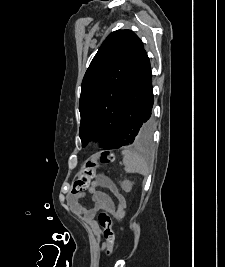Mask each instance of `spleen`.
<instances>
[{"instance_id": "spleen-1", "label": "spleen", "mask_w": 225, "mask_h": 267, "mask_svg": "<svg viewBox=\"0 0 225 267\" xmlns=\"http://www.w3.org/2000/svg\"><path fill=\"white\" fill-rule=\"evenodd\" d=\"M122 155L124 169L127 173H137L145 177L149 175V166L141 155L130 150H123Z\"/></svg>"}]
</instances>
